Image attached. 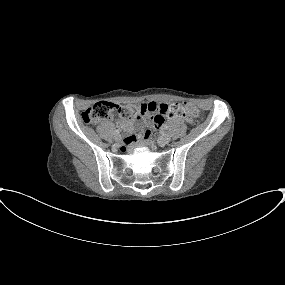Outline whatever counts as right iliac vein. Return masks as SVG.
<instances>
[{
	"label": "right iliac vein",
	"mask_w": 285,
	"mask_h": 285,
	"mask_svg": "<svg viewBox=\"0 0 285 285\" xmlns=\"http://www.w3.org/2000/svg\"><path fill=\"white\" fill-rule=\"evenodd\" d=\"M115 140H116L117 142H120V141L122 140V136L119 135V134H117V135L115 136Z\"/></svg>",
	"instance_id": "right-iliac-vein-1"
}]
</instances>
